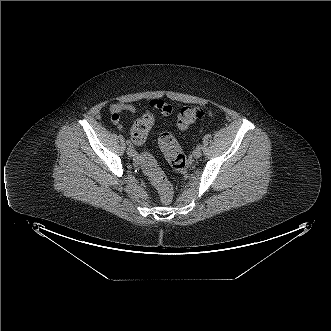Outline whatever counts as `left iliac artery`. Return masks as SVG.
Instances as JSON below:
<instances>
[{
	"label": "left iliac artery",
	"instance_id": "1",
	"mask_svg": "<svg viewBox=\"0 0 331 331\" xmlns=\"http://www.w3.org/2000/svg\"><path fill=\"white\" fill-rule=\"evenodd\" d=\"M197 148H198V149H202V145L199 144V145L197 146Z\"/></svg>",
	"mask_w": 331,
	"mask_h": 331
}]
</instances>
